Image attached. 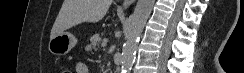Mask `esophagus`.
<instances>
[{
	"mask_svg": "<svg viewBox=\"0 0 244 73\" xmlns=\"http://www.w3.org/2000/svg\"><path fill=\"white\" fill-rule=\"evenodd\" d=\"M134 2H135V0H125L124 3H123V5H122V7L124 9H126V8H128Z\"/></svg>",
	"mask_w": 244,
	"mask_h": 73,
	"instance_id": "34e87169",
	"label": "esophagus"
}]
</instances>
